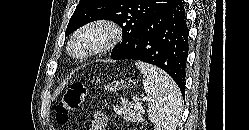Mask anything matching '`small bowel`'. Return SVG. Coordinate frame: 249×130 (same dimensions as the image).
Listing matches in <instances>:
<instances>
[{
  "label": "small bowel",
  "instance_id": "1",
  "mask_svg": "<svg viewBox=\"0 0 249 130\" xmlns=\"http://www.w3.org/2000/svg\"><path fill=\"white\" fill-rule=\"evenodd\" d=\"M107 117L102 112H95L88 130H105Z\"/></svg>",
  "mask_w": 249,
  "mask_h": 130
}]
</instances>
